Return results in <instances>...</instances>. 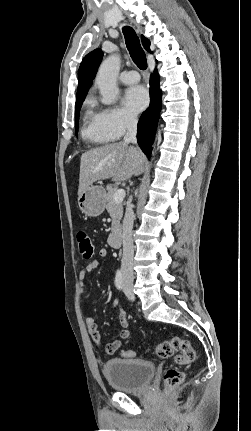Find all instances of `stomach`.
<instances>
[{
	"label": "stomach",
	"instance_id": "0dacf381",
	"mask_svg": "<svg viewBox=\"0 0 251 431\" xmlns=\"http://www.w3.org/2000/svg\"><path fill=\"white\" fill-rule=\"evenodd\" d=\"M105 189L102 186H90L78 197V205L82 213L89 217L101 215L105 209Z\"/></svg>",
	"mask_w": 251,
	"mask_h": 431
}]
</instances>
